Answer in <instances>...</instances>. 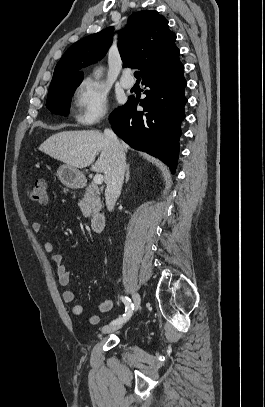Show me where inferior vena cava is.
<instances>
[{"instance_id":"inferior-vena-cava-1","label":"inferior vena cava","mask_w":265,"mask_h":407,"mask_svg":"<svg viewBox=\"0 0 265 407\" xmlns=\"http://www.w3.org/2000/svg\"><path fill=\"white\" fill-rule=\"evenodd\" d=\"M104 135L112 151V169L106 181L105 201L109 211L114 209L117 198L121 193L126 168V158L122 145L111 129H105Z\"/></svg>"}]
</instances>
